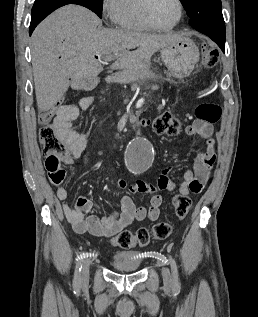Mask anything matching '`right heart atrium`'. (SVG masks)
<instances>
[{
  "mask_svg": "<svg viewBox=\"0 0 258 317\" xmlns=\"http://www.w3.org/2000/svg\"><path fill=\"white\" fill-rule=\"evenodd\" d=\"M120 0H103L101 3L102 17L107 26H115L120 24Z\"/></svg>",
  "mask_w": 258,
  "mask_h": 317,
  "instance_id": "obj_1",
  "label": "right heart atrium"
}]
</instances>
